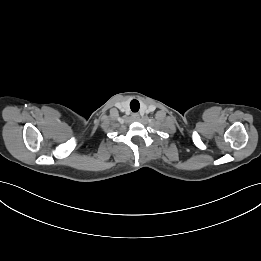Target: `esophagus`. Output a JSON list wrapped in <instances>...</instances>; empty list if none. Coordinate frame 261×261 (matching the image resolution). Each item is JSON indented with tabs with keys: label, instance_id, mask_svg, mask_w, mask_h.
Returning a JSON list of instances; mask_svg holds the SVG:
<instances>
[{
	"label": "esophagus",
	"instance_id": "34e87169",
	"mask_svg": "<svg viewBox=\"0 0 261 261\" xmlns=\"http://www.w3.org/2000/svg\"><path fill=\"white\" fill-rule=\"evenodd\" d=\"M132 118H133L134 121H138V120L140 119V116H139V114L134 113V114L132 115Z\"/></svg>",
	"mask_w": 261,
	"mask_h": 261
}]
</instances>
